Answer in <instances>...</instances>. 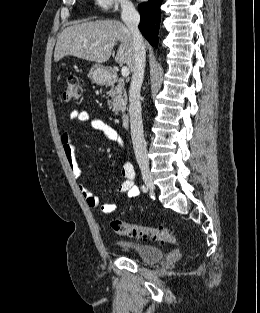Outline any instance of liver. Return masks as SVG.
I'll list each match as a JSON object with an SVG mask.
<instances>
[{
	"label": "liver",
	"instance_id": "liver-1",
	"mask_svg": "<svg viewBox=\"0 0 260 313\" xmlns=\"http://www.w3.org/2000/svg\"><path fill=\"white\" fill-rule=\"evenodd\" d=\"M117 42H120L115 61L127 64L133 71L134 50L129 28L117 20H96L77 23L65 28L59 35L54 61L72 55L92 62H106Z\"/></svg>",
	"mask_w": 260,
	"mask_h": 313
}]
</instances>
